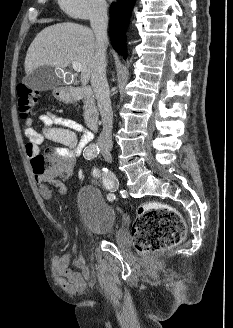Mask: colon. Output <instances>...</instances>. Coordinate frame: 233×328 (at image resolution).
I'll return each mask as SVG.
<instances>
[{
    "label": "colon",
    "mask_w": 233,
    "mask_h": 328,
    "mask_svg": "<svg viewBox=\"0 0 233 328\" xmlns=\"http://www.w3.org/2000/svg\"><path fill=\"white\" fill-rule=\"evenodd\" d=\"M18 107L23 119H29L38 102L35 91L24 84L17 86ZM33 166L37 174L53 170L50 153L36 156ZM186 224L173 207L161 203H147L139 207L132 227V241L139 253L147 254L171 249L182 242Z\"/></svg>",
    "instance_id": "5ec220e1"
}]
</instances>
